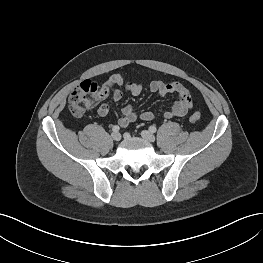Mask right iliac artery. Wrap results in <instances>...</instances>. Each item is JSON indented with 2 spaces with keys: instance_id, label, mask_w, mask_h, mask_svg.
<instances>
[{
  "instance_id": "right-iliac-artery-1",
  "label": "right iliac artery",
  "mask_w": 263,
  "mask_h": 263,
  "mask_svg": "<svg viewBox=\"0 0 263 263\" xmlns=\"http://www.w3.org/2000/svg\"><path fill=\"white\" fill-rule=\"evenodd\" d=\"M119 130H120V127L117 126V125H115V126L112 127V131H113V132H118Z\"/></svg>"
}]
</instances>
